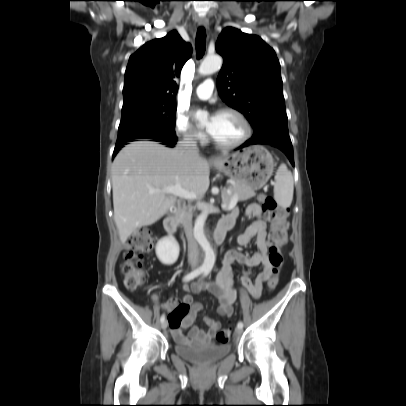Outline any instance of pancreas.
<instances>
[{"label":"pancreas","instance_id":"cf45deb5","mask_svg":"<svg viewBox=\"0 0 406 406\" xmlns=\"http://www.w3.org/2000/svg\"><path fill=\"white\" fill-rule=\"evenodd\" d=\"M235 195L237 196L238 201H246L254 197L256 193L254 190L247 189L240 184L234 183L222 191V203L228 206Z\"/></svg>","mask_w":406,"mask_h":406}]
</instances>
